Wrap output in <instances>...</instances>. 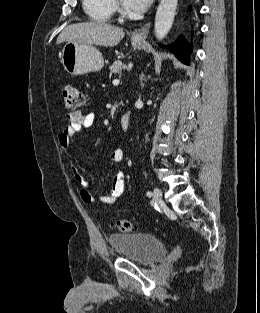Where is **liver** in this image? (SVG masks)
Masks as SVG:
<instances>
[{"instance_id":"1","label":"liver","mask_w":260,"mask_h":313,"mask_svg":"<svg viewBox=\"0 0 260 313\" xmlns=\"http://www.w3.org/2000/svg\"><path fill=\"white\" fill-rule=\"evenodd\" d=\"M124 35L122 28L104 22H81L67 26L58 36L57 44L72 41L113 47L123 39Z\"/></svg>"}]
</instances>
